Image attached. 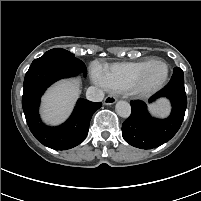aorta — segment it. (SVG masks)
<instances>
[{
  "label": "aorta",
  "instance_id": "1",
  "mask_svg": "<svg viewBox=\"0 0 201 201\" xmlns=\"http://www.w3.org/2000/svg\"><path fill=\"white\" fill-rule=\"evenodd\" d=\"M115 110L122 118H128L131 114V106L126 101H118L116 103Z\"/></svg>",
  "mask_w": 201,
  "mask_h": 201
}]
</instances>
